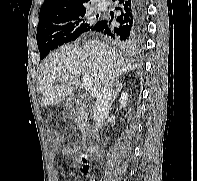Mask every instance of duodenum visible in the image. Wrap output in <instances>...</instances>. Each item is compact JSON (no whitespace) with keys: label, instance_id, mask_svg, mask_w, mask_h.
<instances>
[{"label":"duodenum","instance_id":"1","mask_svg":"<svg viewBox=\"0 0 197 181\" xmlns=\"http://www.w3.org/2000/svg\"><path fill=\"white\" fill-rule=\"evenodd\" d=\"M69 110L73 113H80L88 116L84 104L79 100H71L68 103Z\"/></svg>","mask_w":197,"mask_h":181}]
</instances>
